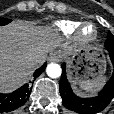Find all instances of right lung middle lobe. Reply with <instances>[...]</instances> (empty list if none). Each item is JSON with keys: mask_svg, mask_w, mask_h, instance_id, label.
I'll use <instances>...</instances> for the list:
<instances>
[{"mask_svg": "<svg viewBox=\"0 0 114 114\" xmlns=\"http://www.w3.org/2000/svg\"><path fill=\"white\" fill-rule=\"evenodd\" d=\"M11 20L9 19H4V18H0V25H6L10 22Z\"/></svg>", "mask_w": 114, "mask_h": 114, "instance_id": "1", "label": "right lung middle lobe"}]
</instances>
